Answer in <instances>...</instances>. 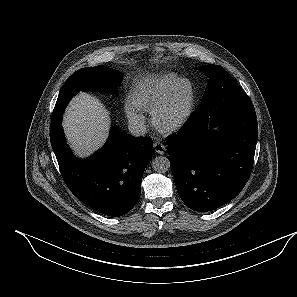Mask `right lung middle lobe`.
I'll use <instances>...</instances> for the list:
<instances>
[{
	"instance_id": "1",
	"label": "right lung middle lobe",
	"mask_w": 297,
	"mask_h": 297,
	"mask_svg": "<svg viewBox=\"0 0 297 297\" xmlns=\"http://www.w3.org/2000/svg\"><path fill=\"white\" fill-rule=\"evenodd\" d=\"M122 82V74L115 70L104 67H87L74 72L61 88L55 104L51 128L58 125L69 100L79 91L115 92Z\"/></svg>"
}]
</instances>
